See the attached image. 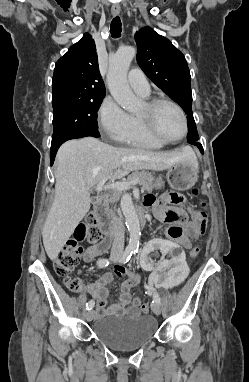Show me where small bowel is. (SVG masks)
I'll use <instances>...</instances> for the list:
<instances>
[{
    "instance_id": "small-bowel-1",
    "label": "small bowel",
    "mask_w": 249,
    "mask_h": 382,
    "mask_svg": "<svg viewBox=\"0 0 249 382\" xmlns=\"http://www.w3.org/2000/svg\"><path fill=\"white\" fill-rule=\"evenodd\" d=\"M183 195L175 192H166L159 198L153 194H148L144 203L151 207L154 216L165 223L170 224L167 231L169 240L178 241V245H182V249H189L192 242L195 241L200 231L193 219H189L188 214L181 206L184 204ZM111 245V239L105 238L99 244L88 247L83 254L85 262H92L97 256L105 253ZM114 276L121 279V294L119 300L106 308L108 296L107 285L113 280ZM138 275H131L125 278V272L116 269L114 272H106L100 276L95 282L87 286L88 293L96 302V313L100 317L130 315L135 311L129 309L131 302V290L139 283ZM153 283L149 282L148 287L151 288Z\"/></svg>"
}]
</instances>
